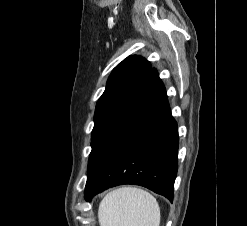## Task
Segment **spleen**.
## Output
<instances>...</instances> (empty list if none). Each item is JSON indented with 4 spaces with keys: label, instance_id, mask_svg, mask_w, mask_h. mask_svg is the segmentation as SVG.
Masks as SVG:
<instances>
[{
    "label": "spleen",
    "instance_id": "obj_1",
    "mask_svg": "<svg viewBox=\"0 0 247 226\" xmlns=\"http://www.w3.org/2000/svg\"><path fill=\"white\" fill-rule=\"evenodd\" d=\"M98 219L100 226H159L160 208L147 191L124 187L103 198Z\"/></svg>",
    "mask_w": 247,
    "mask_h": 226
}]
</instances>
